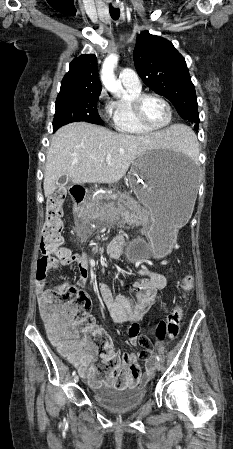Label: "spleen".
<instances>
[{
    "label": "spleen",
    "mask_w": 233,
    "mask_h": 449,
    "mask_svg": "<svg viewBox=\"0 0 233 449\" xmlns=\"http://www.w3.org/2000/svg\"><path fill=\"white\" fill-rule=\"evenodd\" d=\"M185 125V124H182ZM173 148L182 153H195L198 151V145L194 133L186 127V134H183V139L173 145Z\"/></svg>",
    "instance_id": "obj_1"
}]
</instances>
